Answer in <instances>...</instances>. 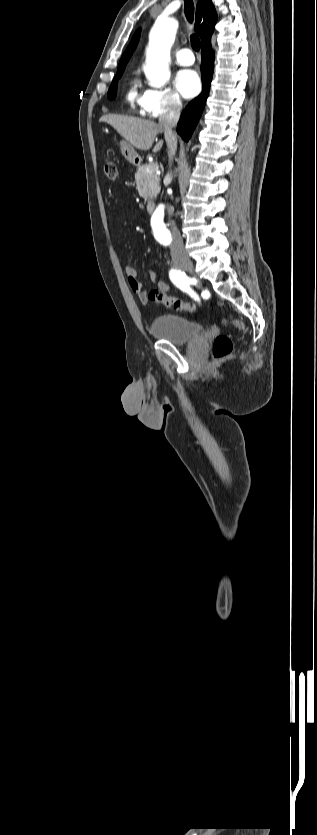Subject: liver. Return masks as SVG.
Instances as JSON below:
<instances>
[{
	"mask_svg": "<svg viewBox=\"0 0 317 835\" xmlns=\"http://www.w3.org/2000/svg\"><path fill=\"white\" fill-rule=\"evenodd\" d=\"M99 122H105L111 125L133 147L142 151L149 150L157 134L163 132L160 125L154 121L115 114L103 115L100 117ZM162 146L163 141L158 142L154 146L153 152H159Z\"/></svg>",
	"mask_w": 317,
	"mask_h": 835,
	"instance_id": "6515ba94",
	"label": "liver"
}]
</instances>
